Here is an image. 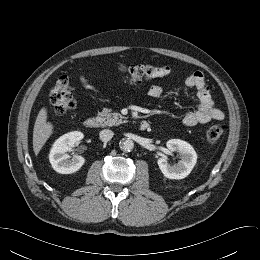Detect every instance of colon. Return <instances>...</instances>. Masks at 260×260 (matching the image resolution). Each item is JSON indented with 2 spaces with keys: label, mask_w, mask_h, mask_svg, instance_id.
Masks as SVG:
<instances>
[{
  "label": "colon",
  "mask_w": 260,
  "mask_h": 260,
  "mask_svg": "<svg viewBox=\"0 0 260 260\" xmlns=\"http://www.w3.org/2000/svg\"><path fill=\"white\" fill-rule=\"evenodd\" d=\"M121 71L126 78L134 83H142L153 76L154 68L150 65L136 64L122 66ZM49 100L56 112L63 114L75 107L72 87L68 76L63 75L53 85ZM225 127L221 124H212L206 130V139L209 143L217 142L224 134Z\"/></svg>",
  "instance_id": "colon-1"
}]
</instances>
